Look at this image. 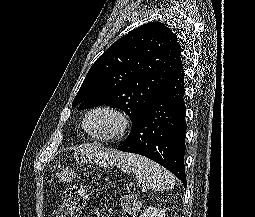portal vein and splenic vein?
Returning <instances> with one entry per match:
<instances>
[{
  "mask_svg": "<svg viewBox=\"0 0 255 217\" xmlns=\"http://www.w3.org/2000/svg\"><path fill=\"white\" fill-rule=\"evenodd\" d=\"M146 190H147V189H146L145 187L142 189L143 192H145Z\"/></svg>",
  "mask_w": 255,
  "mask_h": 217,
  "instance_id": "1",
  "label": "portal vein and splenic vein"
}]
</instances>
